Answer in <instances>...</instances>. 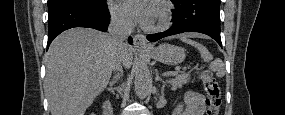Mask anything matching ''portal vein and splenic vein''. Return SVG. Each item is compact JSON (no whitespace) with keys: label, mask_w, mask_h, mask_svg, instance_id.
Returning a JSON list of instances; mask_svg holds the SVG:
<instances>
[{"label":"portal vein and splenic vein","mask_w":285,"mask_h":115,"mask_svg":"<svg viewBox=\"0 0 285 115\" xmlns=\"http://www.w3.org/2000/svg\"><path fill=\"white\" fill-rule=\"evenodd\" d=\"M177 72L176 71H167L163 73V76H173L176 75Z\"/></svg>","instance_id":"18ae733b"}]
</instances>
